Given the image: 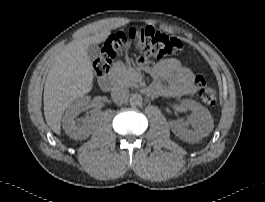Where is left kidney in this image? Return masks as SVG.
I'll list each match as a JSON object with an SVG mask.
<instances>
[{
    "label": "left kidney",
    "mask_w": 265,
    "mask_h": 202,
    "mask_svg": "<svg viewBox=\"0 0 265 202\" xmlns=\"http://www.w3.org/2000/svg\"><path fill=\"white\" fill-rule=\"evenodd\" d=\"M182 105L195 113L191 115L188 122L193 130L187 128V122L171 121V130L182 140L195 143L206 137L214 128L213 118L205 107L193 100H183Z\"/></svg>",
    "instance_id": "1"
}]
</instances>
